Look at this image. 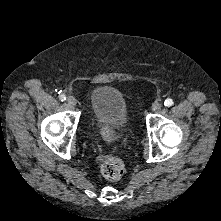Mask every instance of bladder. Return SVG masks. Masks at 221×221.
<instances>
[{"instance_id": "31cf9c89", "label": "bladder", "mask_w": 221, "mask_h": 221, "mask_svg": "<svg viewBox=\"0 0 221 221\" xmlns=\"http://www.w3.org/2000/svg\"><path fill=\"white\" fill-rule=\"evenodd\" d=\"M90 113L96 125L119 129L128 122V108L124 96L119 90L109 86H100L92 91Z\"/></svg>"}]
</instances>
